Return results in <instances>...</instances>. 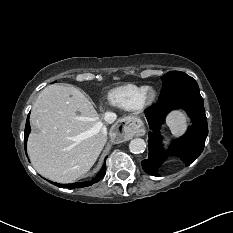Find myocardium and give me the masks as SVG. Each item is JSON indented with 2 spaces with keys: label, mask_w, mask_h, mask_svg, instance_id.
<instances>
[{
  "label": "myocardium",
  "mask_w": 233,
  "mask_h": 233,
  "mask_svg": "<svg viewBox=\"0 0 233 233\" xmlns=\"http://www.w3.org/2000/svg\"><path fill=\"white\" fill-rule=\"evenodd\" d=\"M156 97V90L152 87H147L142 95L140 107L151 105L156 100Z\"/></svg>",
  "instance_id": "1"
}]
</instances>
